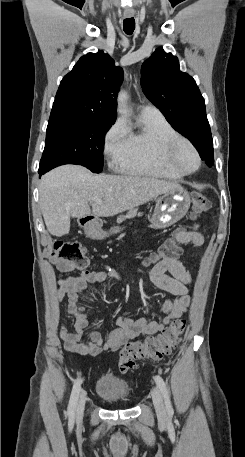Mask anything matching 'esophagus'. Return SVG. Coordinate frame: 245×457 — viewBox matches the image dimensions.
<instances>
[{"label":"esophagus","mask_w":245,"mask_h":457,"mask_svg":"<svg viewBox=\"0 0 245 457\" xmlns=\"http://www.w3.org/2000/svg\"><path fill=\"white\" fill-rule=\"evenodd\" d=\"M123 15H124V17H126V18L133 17V16H134V12H131V13H126V12H124Z\"/></svg>","instance_id":"obj_1"}]
</instances>
